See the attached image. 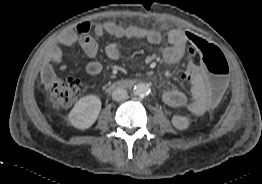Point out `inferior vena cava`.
<instances>
[{"label":"inferior vena cava","instance_id":"inferior-vena-cava-1","mask_svg":"<svg viewBox=\"0 0 262 184\" xmlns=\"http://www.w3.org/2000/svg\"><path fill=\"white\" fill-rule=\"evenodd\" d=\"M127 97V91L123 88H116L112 92V98L115 101H121L124 100Z\"/></svg>","mask_w":262,"mask_h":184}]
</instances>
